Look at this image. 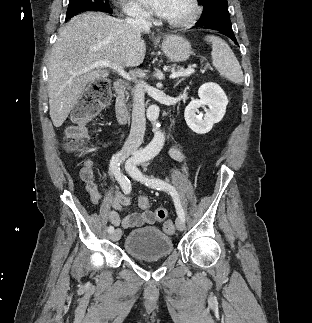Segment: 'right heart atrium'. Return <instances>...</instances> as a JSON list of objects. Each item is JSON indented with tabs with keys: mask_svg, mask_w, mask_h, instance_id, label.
<instances>
[{
	"mask_svg": "<svg viewBox=\"0 0 312 323\" xmlns=\"http://www.w3.org/2000/svg\"><path fill=\"white\" fill-rule=\"evenodd\" d=\"M109 5H114L115 9H120L121 13H129V17H151V10H141L140 6H133L132 2L124 0H109Z\"/></svg>",
	"mask_w": 312,
	"mask_h": 323,
	"instance_id": "obj_1",
	"label": "right heart atrium"
}]
</instances>
